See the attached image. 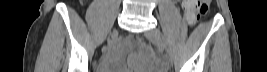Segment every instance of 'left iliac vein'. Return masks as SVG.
I'll return each instance as SVG.
<instances>
[{"label": "left iliac vein", "instance_id": "4c4485c4", "mask_svg": "<svg viewBox=\"0 0 267 72\" xmlns=\"http://www.w3.org/2000/svg\"><path fill=\"white\" fill-rule=\"evenodd\" d=\"M145 36L149 40L155 42L158 45L159 50L163 54L164 61L166 62V64H170L171 59H170V56L167 52L166 43L164 41V38H163L160 30L159 29H151L145 33Z\"/></svg>", "mask_w": 267, "mask_h": 72}]
</instances>
